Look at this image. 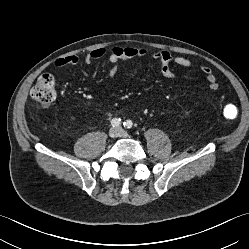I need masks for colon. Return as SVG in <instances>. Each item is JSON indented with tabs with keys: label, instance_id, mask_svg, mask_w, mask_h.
<instances>
[{
	"label": "colon",
	"instance_id": "1",
	"mask_svg": "<svg viewBox=\"0 0 249 249\" xmlns=\"http://www.w3.org/2000/svg\"><path fill=\"white\" fill-rule=\"evenodd\" d=\"M31 96L42 107L50 106L56 98L55 79L51 74H43L34 85ZM237 113L236 107L228 105L224 109V117L231 119Z\"/></svg>",
	"mask_w": 249,
	"mask_h": 249
}]
</instances>
